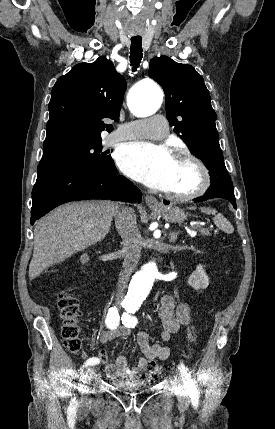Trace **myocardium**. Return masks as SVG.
I'll list each match as a JSON object with an SVG mask.
<instances>
[{
	"mask_svg": "<svg viewBox=\"0 0 275 429\" xmlns=\"http://www.w3.org/2000/svg\"><path fill=\"white\" fill-rule=\"evenodd\" d=\"M176 159L189 161L193 163L200 173V182L196 189L190 191L188 193H171L165 192V195L172 200L175 201H189L201 197L204 195L210 187L211 184V176L208 167L206 164L196 155L188 151H182L177 154Z\"/></svg>",
	"mask_w": 275,
	"mask_h": 429,
	"instance_id": "obj_1",
	"label": "myocardium"
}]
</instances>
